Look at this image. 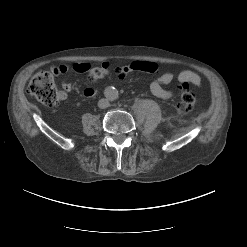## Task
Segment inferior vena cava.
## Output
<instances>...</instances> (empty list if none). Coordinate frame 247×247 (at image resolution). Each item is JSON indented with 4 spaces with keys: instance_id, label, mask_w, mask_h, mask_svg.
Returning a JSON list of instances; mask_svg holds the SVG:
<instances>
[{
    "instance_id": "inferior-vena-cava-1",
    "label": "inferior vena cava",
    "mask_w": 247,
    "mask_h": 247,
    "mask_svg": "<svg viewBox=\"0 0 247 247\" xmlns=\"http://www.w3.org/2000/svg\"><path fill=\"white\" fill-rule=\"evenodd\" d=\"M98 107L101 108V109H105L107 107H109V101L108 99H100L99 102H98Z\"/></svg>"
}]
</instances>
